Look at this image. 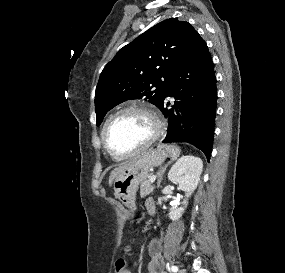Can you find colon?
I'll use <instances>...</instances> for the list:
<instances>
[{"instance_id": "5ec220e1", "label": "colon", "mask_w": 285, "mask_h": 273, "mask_svg": "<svg viewBox=\"0 0 285 273\" xmlns=\"http://www.w3.org/2000/svg\"><path fill=\"white\" fill-rule=\"evenodd\" d=\"M127 262L124 258H120L116 261L115 264V273H129Z\"/></svg>"}]
</instances>
